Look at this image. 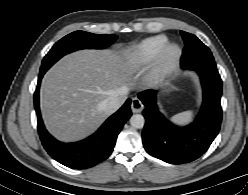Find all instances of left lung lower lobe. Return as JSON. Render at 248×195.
<instances>
[{
    "mask_svg": "<svg viewBox=\"0 0 248 195\" xmlns=\"http://www.w3.org/2000/svg\"><path fill=\"white\" fill-rule=\"evenodd\" d=\"M197 73L203 88V104L195 121L188 126L178 127L159 112L156 90L138 95L145 105L144 148L150 155L167 163L182 164L196 160L207 151L219 132L222 120L220 75L217 69H201Z\"/></svg>",
    "mask_w": 248,
    "mask_h": 195,
    "instance_id": "0a47b994",
    "label": "left lung lower lobe"
}]
</instances>
